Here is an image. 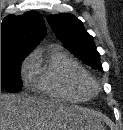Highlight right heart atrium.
Masks as SVG:
<instances>
[{
	"label": "right heart atrium",
	"mask_w": 123,
	"mask_h": 130,
	"mask_svg": "<svg viewBox=\"0 0 123 130\" xmlns=\"http://www.w3.org/2000/svg\"><path fill=\"white\" fill-rule=\"evenodd\" d=\"M30 60H31V57L24 64V69L26 71H29V69H30Z\"/></svg>",
	"instance_id": "1"
}]
</instances>
